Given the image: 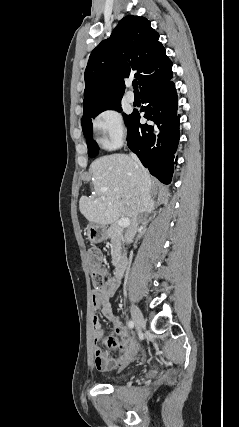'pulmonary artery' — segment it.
<instances>
[{
	"mask_svg": "<svg viewBox=\"0 0 239 427\" xmlns=\"http://www.w3.org/2000/svg\"><path fill=\"white\" fill-rule=\"evenodd\" d=\"M126 99L128 102L133 103L135 101L134 93L132 91H128L126 93Z\"/></svg>",
	"mask_w": 239,
	"mask_h": 427,
	"instance_id": "1",
	"label": "pulmonary artery"
}]
</instances>
